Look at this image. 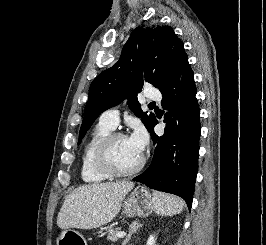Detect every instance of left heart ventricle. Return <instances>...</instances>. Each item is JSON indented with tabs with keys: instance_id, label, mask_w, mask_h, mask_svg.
Returning a JSON list of instances; mask_svg holds the SVG:
<instances>
[{
	"instance_id": "b2bd125f",
	"label": "left heart ventricle",
	"mask_w": 266,
	"mask_h": 245,
	"mask_svg": "<svg viewBox=\"0 0 266 245\" xmlns=\"http://www.w3.org/2000/svg\"><path fill=\"white\" fill-rule=\"evenodd\" d=\"M138 155L129 145L126 137H118L112 144L111 162L118 172H128L138 163Z\"/></svg>"
}]
</instances>
